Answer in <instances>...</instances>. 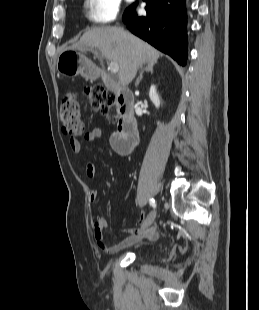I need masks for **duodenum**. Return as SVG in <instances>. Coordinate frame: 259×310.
Returning a JSON list of instances; mask_svg holds the SVG:
<instances>
[{"label":"duodenum","mask_w":259,"mask_h":310,"mask_svg":"<svg viewBox=\"0 0 259 310\" xmlns=\"http://www.w3.org/2000/svg\"><path fill=\"white\" fill-rule=\"evenodd\" d=\"M101 76L104 74L101 72ZM118 108V128L112 137L113 146L121 154H131L138 143V128L134 114V97L126 89H115Z\"/></svg>","instance_id":"obj_1"}]
</instances>
